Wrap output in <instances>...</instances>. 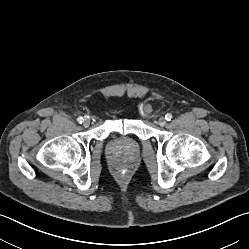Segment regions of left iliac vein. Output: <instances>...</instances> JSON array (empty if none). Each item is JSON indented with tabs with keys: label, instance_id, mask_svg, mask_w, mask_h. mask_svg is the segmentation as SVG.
<instances>
[{
	"label": "left iliac vein",
	"instance_id": "4c4485c4",
	"mask_svg": "<svg viewBox=\"0 0 249 249\" xmlns=\"http://www.w3.org/2000/svg\"><path fill=\"white\" fill-rule=\"evenodd\" d=\"M157 124L160 125V126H165L166 124V119L164 117H160L158 120H157Z\"/></svg>",
	"mask_w": 249,
	"mask_h": 249
}]
</instances>
